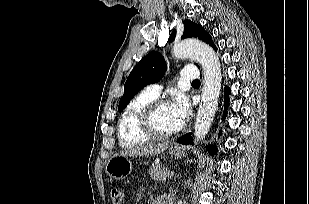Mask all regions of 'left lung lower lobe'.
I'll use <instances>...</instances> for the list:
<instances>
[{"instance_id": "obj_1", "label": "left lung lower lobe", "mask_w": 309, "mask_h": 204, "mask_svg": "<svg viewBox=\"0 0 309 204\" xmlns=\"http://www.w3.org/2000/svg\"><path fill=\"white\" fill-rule=\"evenodd\" d=\"M224 92H225V111H224V115H225L226 114V110H227L228 105H229V102H228V98L229 97L228 96H229V93H230V88L225 87ZM177 142L181 143V144H190V143H192L191 133H187V134L183 135L182 137L177 139ZM206 149L208 150L209 153L216 154V148L214 149V147L208 146Z\"/></svg>"}]
</instances>
